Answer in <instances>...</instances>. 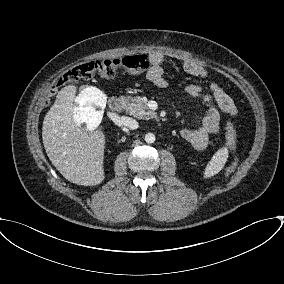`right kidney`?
<instances>
[{"label": "right kidney", "instance_id": "obj_1", "mask_svg": "<svg viewBox=\"0 0 284 284\" xmlns=\"http://www.w3.org/2000/svg\"><path fill=\"white\" fill-rule=\"evenodd\" d=\"M75 101L77 105L74 108V122L80 128L85 125L87 131H94L102 120V114L96 107H105V94L95 87H86L81 90Z\"/></svg>", "mask_w": 284, "mask_h": 284}]
</instances>
